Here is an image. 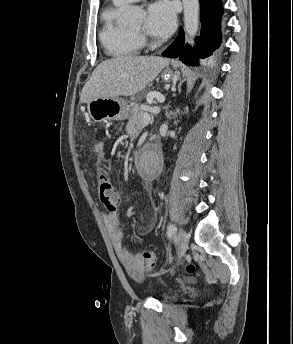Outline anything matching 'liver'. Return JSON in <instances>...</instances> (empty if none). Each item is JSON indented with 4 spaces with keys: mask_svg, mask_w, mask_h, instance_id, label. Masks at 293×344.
Instances as JSON below:
<instances>
[{
    "mask_svg": "<svg viewBox=\"0 0 293 344\" xmlns=\"http://www.w3.org/2000/svg\"><path fill=\"white\" fill-rule=\"evenodd\" d=\"M169 62V59L158 56L131 55L105 60L96 67L85 83L80 102L133 96L148 86Z\"/></svg>",
    "mask_w": 293,
    "mask_h": 344,
    "instance_id": "1",
    "label": "liver"
}]
</instances>
